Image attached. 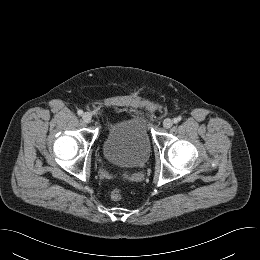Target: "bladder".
<instances>
[{
    "label": "bladder",
    "instance_id": "bladder-1",
    "mask_svg": "<svg viewBox=\"0 0 260 260\" xmlns=\"http://www.w3.org/2000/svg\"><path fill=\"white\" fill-rule=\"evenodd\" d=\"M151 153V140L145 120L132 115L108 126L102 155L111 164L136 168L143 166Z\"/></svg>",
    "mask_w": 260,
    "mask_h": 260
}]
</instances>
